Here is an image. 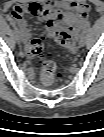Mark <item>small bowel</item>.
<instances>
[{
  "label": "small bowel",
  "mask_w": 104,
  "mask_h": 137,
  "mask_svg": "<svg viewBox=\"0 0 104 137\" xmlns=\"http://www.w3.org/2000/svg\"><path fill=\"white\" fill-rule=\"evenodd\" d=\"M90 11V7L83 2L45 0L43 3L32 2L15 6L9 20L16 25L21 33L25 44V52L30 55V28L24 18L26 13L39 15L46 26L58 24L74 33H78L87 24Z\"/></svg>",
  "instance_id": "c3829d8e"
}]
</instances>
